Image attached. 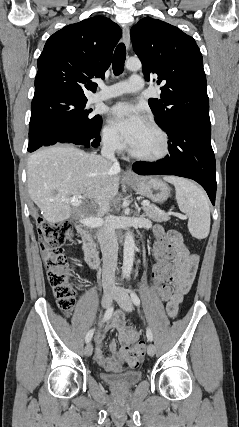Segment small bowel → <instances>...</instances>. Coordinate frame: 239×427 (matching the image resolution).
<instances>
[{
  "instance_id": "obj_1",
  "label": "small bowel",
  "mask_w": 239,
  "mask_h": 427,
  "mask_svg": "<svg viewBox=\"0 0 239 427\" xmlns=\"http://www.w3.org/2000/svg\"><path fill=\"white\" fill-rule=\"evenodd\" d=\"M169 252L173 259L172 276L169 285V297L161 298L166 301V310L170 317H175L184 296L189 291L197 273L199 257L191 253L183 242L182 235L176 230H169ZM106 331L116 330L123 348L134 344L138 339V332L133 326L125 324V315L117 310L110 317ZM95 360L107 371L118 372L122 369V354L117 344L111 343V355L106 356L103 351L104 334L98 331L95 335Z\"/></svg>"
}]
</instances>
